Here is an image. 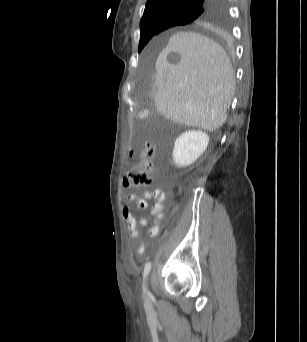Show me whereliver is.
<instances>
[{"label": "liver", "instance_id": "liver-1", "mask_svg": "<svg viewBox=\"0 0 307 342\" xmlns=\"http://www.w3.org/2000/svg\"><path fill=\"white\" fill-rule=\"evenodd\" d=\"M162 49L152 68L157 112L206 132L221 128L235 88L225 50L195 32H177Z\"/></svg>", "mask_w": 307, "mask_h": 342}]
</instances>
